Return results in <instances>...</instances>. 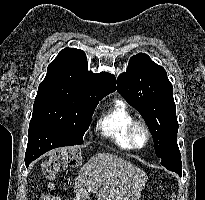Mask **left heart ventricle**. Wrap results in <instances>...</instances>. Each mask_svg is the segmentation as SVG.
<instances>
[{
  "label": "left heart ventricle",
  "instance_id": "obj_1",
  "mask_svg": "<svg viewBox=\"0 0 205 200\" xmlns=\"http://www.w3.org/2000/svg\"><path fill=\"white\" fill-rule=\"evenodd\" d=\"M135 142L139 146H143L146 143V134L142 128H138L135 131Z\"/></svg>",
  "mask_w": 205,
  "mask_h": 200
}]
</instances>
